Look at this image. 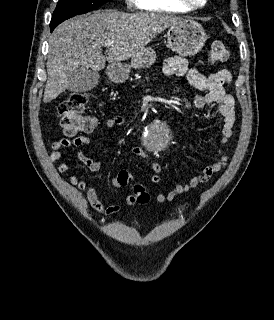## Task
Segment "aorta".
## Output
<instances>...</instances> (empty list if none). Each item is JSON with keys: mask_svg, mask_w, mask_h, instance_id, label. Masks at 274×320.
Listing matches in <instances>:
<instances>
[{"mask_svg": "<svg viewBox=\"0 0 274 320\" xmlns=\"http://www.w3.org/2000/svg\"><path fill=\"white\" fill-rule=\"evenodd\" d=\"M147 147L150 151L158 153L168 147L171 135L168 128L161 123L153 124L145 133Z\"/></svg>", "mask_w": 274, "mask_h": 320, "instance_id": "obj_1", "label": "aorta"}]
</instances>
